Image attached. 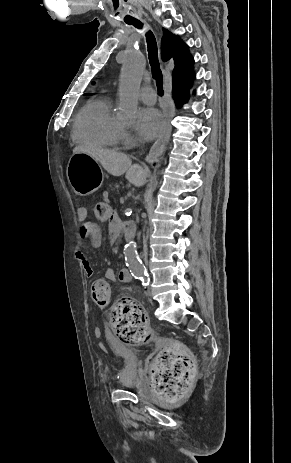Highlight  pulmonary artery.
Instances as JSON below:
<instances>
[{
  "label": "pulmonary artery",
  "mask_w": 291,
  "mask_h": 463,
  "mask_svg": "<svg viewBox=\"0 0 291 463\" xmlns=\"http://www.w3.org/2000/svg\"><path fill=\"white\" fill-rule=\"evenodd\" d=\"M139 96L145 104L153 105L156 102V92L151 86L141 87Z\"/></svg>",
  "instance_id": "e3ab8cb5"
}]
</instances>
